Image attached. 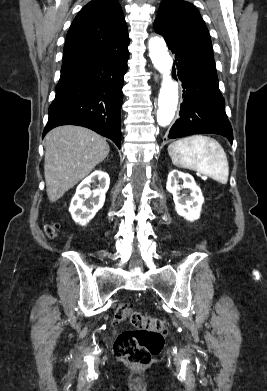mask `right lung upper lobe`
I'll return each mask as SVG.
<instances>
[{"instance_id": "1", "label": "right lung upper lobe", "mask_w": 267, "mask_h": 391, "mask_svg": "<svg viewBox=\"0 0 267 391\" xmlns=\"http://www.w3.org/2000/svg\"><path fill=\"white\" fill-rule=\"evenodd\" d=\"M128 44L127 25L117 0H92L67 33L61 72L126 49Z\"/></svg>"}]
</instances>
